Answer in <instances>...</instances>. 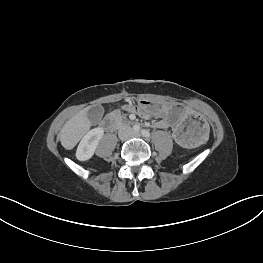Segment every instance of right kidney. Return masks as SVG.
<instances>
[{
	"mask_svg": "<svg viewBox=\"0 0 263 263\" xmlns=\"http://www.w3.org/2000/svg\"><path fill=\"white\" fill-rule=\"evenodd\" d=\"M104 130L100 127L90 130L80 141L76 157L80 161L89 160L95 153L100 139L103 137Z\"/></svg>",
	"mask_w": 263,
	"mask_h": 263,
	"instance_id": "1",
	"label": "right kidney"
}]
</instances>
